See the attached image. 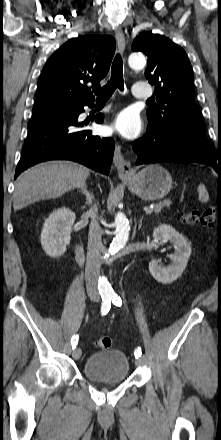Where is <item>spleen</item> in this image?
Listing matches in <instances>:
<instances>
[{"label": "spleen", "instance_id": "spleen-1", "mask_svg": "<svg viewBox=\"0 0 221 440\" xmlns=\"http://www.w3.org/2000/svg\"><path fill=\"white\" fill-rule=\"evenodd\" d=\"M198 194H199V201L201 203H207L209 201V194L204 184H200L198 186Z\"/></svg>", "mask_w": 221, "mask_h": 440}]
</instances>
